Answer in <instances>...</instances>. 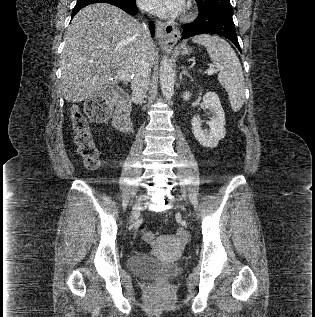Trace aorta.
Segmentation results:
<instances>
[{
  "label": "aorta",
  "instance_id": "aorta-1",
  "mask_svg": "<svg viewBox=\"0 0 315 317\" xmlns=\"http://www.w3.org/2000/svg\"><path fill=\"white\" fill-rule=\"evenodd\" d=\"M160 85L166 99H171L174 94L175 74L173 66L167 58H163L159 73Z\"/></svg>",
  "mask_w": 315,
  "mask_h": 317
}]
</instances>
